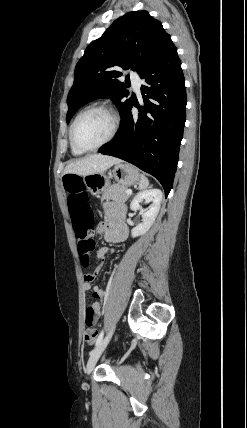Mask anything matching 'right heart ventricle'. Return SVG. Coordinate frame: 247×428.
<instances>
[{
    "label": "right heart ventricle",
    "instance_id": "e07e8e85",
    "mask_svg": "<svg viewBox=\"0 0 247 428\" xmlns=\"http://www.w3.org/2000/svg\"><path fill=\"white\" fill-rule=\"evenodd\" d=\"M70 145H71V143H70ZM71 150H72V153L74 154V155H82L84 152L83 151H80V150H78V149H76L75 147H73L72 145H71Z\"/></svg>",
    "mask_w": 247,
    "mask_h": 428
}]
</instances>
